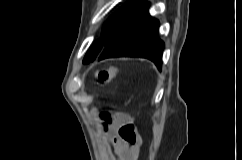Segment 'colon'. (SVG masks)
<instances>
[{
	"mask_svg": "<svg viewBox=\"0 0 242 160\" xmlns=\"http://www.w3.org/2000/svg\"><path fill=\"white\" fill-rule=\"evenodd\" d=\"M116 74L115 69L109 68H101L98 71V80L101 82H106L110 80ZM106 119L108 118L107 115L104 116ZM124 136L127 140L133 141L135 139V133L133 126H128L125 130Z\"/></svg>",
	"mask_w": 242,
	"mask_h": 160,
	"instance_id": "obj_1",
	"label": "colon"
}]
</instances>
